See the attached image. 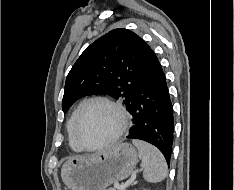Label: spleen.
I'll return each mask as SVG.
<instances>
[{"instance_id": "3e777b00", "label": "spleen", "mask_w": 234, "mask_h": 190, "mask_svg": "<svg viewBox=\"0 0 234 190\" xmlns=\"http://www.w3.org/2000/svg\"><path fill=\"white\" fill-rule=\"evenodd\" d=\"M132 143L139 151L144 179L152 183L163 181L167 175V163L162 153L147 142L133 139Z\"/></svg>"}]
</instances>
